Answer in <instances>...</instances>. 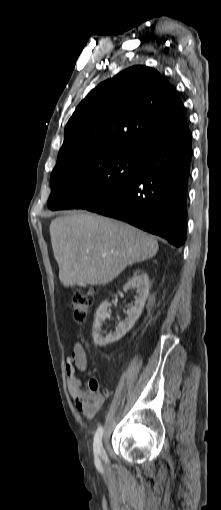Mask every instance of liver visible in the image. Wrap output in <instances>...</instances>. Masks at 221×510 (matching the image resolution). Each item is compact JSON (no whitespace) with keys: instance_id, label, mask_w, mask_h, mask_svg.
Here are the masks:
<instances>
[{"instance_id":"obj_1","label":"liver","mask_w":221,"mask_h":510,"mask_svg":"<svg viewBox=\"0 0 221 510\" xmlns=\"http://www.w3.org/2000/svg\"><path fill=\"white\" fill-rule=\"evenodd\" d=\"M50 236L64 287L105 285L159 249L155 239L131 225L83 212L52 220Z\"/></svg>"}]
</instances>
